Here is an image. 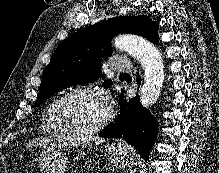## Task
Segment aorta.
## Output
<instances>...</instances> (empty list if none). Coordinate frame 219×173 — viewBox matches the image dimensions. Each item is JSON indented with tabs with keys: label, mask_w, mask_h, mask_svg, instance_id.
Listing matches in <instances>:
<instances>
[{
	"label": "aorta",
	"mask_w": 219,
	"mask_h": 173,
	"mask_svg": "<svg viewBox=\"0 0 219 173\" xmlns=\"http://www.w3.org/2000/svg\"><path fill=\"white\" fill-rule=\"evenodd\" d=\"M114 47L128 52L141 63L145 80L141 88L140 102L143 107L149 108L157 101L165 77L160 52L149 41L131 34L116 37Z\"/></svg>",
	"instance_id": "762f6f07"
}]
</instances>
